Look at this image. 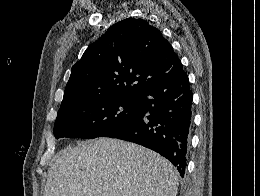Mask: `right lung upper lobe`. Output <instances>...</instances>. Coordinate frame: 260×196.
Masks as SVG:
<instances>
[{
	"label": "right lung upper lobe",
	"instance_id": "1",
	"mask_svg": "<svg viewBox=\"0 0 260 196\" xmlns=\"http://www.w3.org/2000/svg\"><path fill=\"white\" fill-rule=\"evenodd\" d=\"M182 72L180 59L159 29L127 18L112 25L72 67L59 110L102 94L138 98Z\"/></svg>",
	"mask_w": 260,
	"mask_h": 196
}]
</instances>
